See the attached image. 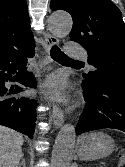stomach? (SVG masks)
<instances>
[{"instance_id":"stomach-1","label":"stomach","mask_w":125,"mask_h":167,"mask_svg":"<svg viewBox=\"0 0 125 167\" xmlns=\"http://www.w3.org/2000/svg\"><path fill=\"white\" fill-rule=\"evenodd\" d=\"M114 148V140L102 132L85 134L77 141V154L84 161L106 157L114 151Z\"/></svg>"}]
</instances>
